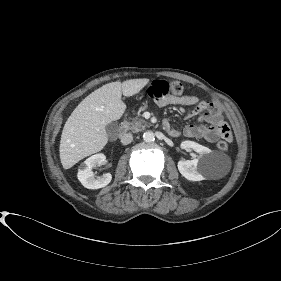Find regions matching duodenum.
Wrapping results in <instances>:
<instances>
[{
  "mask_svg": "<svg viewBox=\"0 0 281 281\" xmlns=\"http://www.w3.org/2000/svg\"><path fill=\"white\" fill-rule=\"evenodd\" d=\"M163 126H164V123H163ZM127 129H128L127 122L126 121L121 122L120 126H119V135L125 134Z\"/></svg>",
  "mask_w": 281,
  "mask_h": 281,
  "instance_id": "1",
  "label": "duodenum"
}]
</instances>
